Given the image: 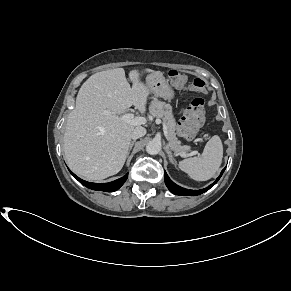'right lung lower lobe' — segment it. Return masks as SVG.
Returning <instances> with one entry per match:
<instances>
[{"mask_svg": "<svg viewBox=\"0 0 291 291\" xmlns=\"http://www.w3.org/2000/svg\"><path fill=\"white\" fill-rule=\"evenodd\" d=\"M71 174L81 184H83L87 188L92 189V190H97V191H105V192H114V191H116L117 189H119L125 183V181L127 180V177H128V174H126L125 176H123V177H121V178H119V179H117L115 181H112V182H109V183L99 184V183H91V182L84 181V180L80 179L79 177H77L74 173L71 172Z\"/></svg>", "mask_w": 291, "mask_h": 291, "instance_id": "right-lung-lower-lobe-1", "label": "right lung lower lobe"}]
</instances>
